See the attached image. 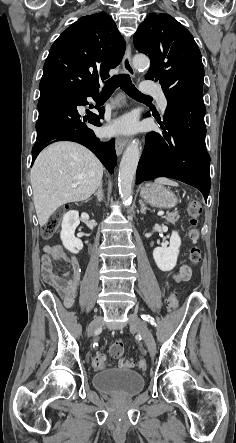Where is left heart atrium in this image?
Returning a JSON list of instances; mask_svg holds the SVG:
<instances>
[{
	"label": "left heart atrium",
	"instance_id": "obj_1",
	"mask_svg": "<svg viewBox=\"0 0 236 443\" xmlns=\"http://www.w3.org/2000/svg\"><path fill=\"white\" fill-rule=\"evenodd\" d=\"M136 130V121L131 116L122 117L108 127V132L112 134L131 133Z\"/></svg>",
	"mask_w": 236,
	"mask_h": 443
}]
</instances>
